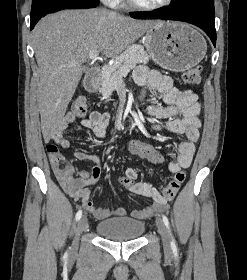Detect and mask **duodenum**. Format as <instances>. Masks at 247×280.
Returning a JSON list of instances; mask_svg holds the SVG:
<instances>
[{
    "instance_id": "obj_1",
    "label": "duodenum",
    "mask_w": 247,
    "mask_h": 280,
    "mask_svg": "<svg viewBox=\"0 0 247 280\" xmlns=\"http://www.w3.org/2000/svg\"><path fill=\"white\" fill-rule=\"evenodd\" d=\"M101 78V71L98 68H94L89 71L85 80V88L88 91H95L98 88Z\"/></svg>"
}]
</instances>
